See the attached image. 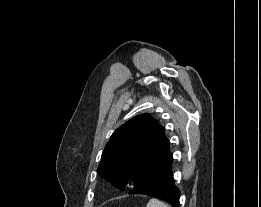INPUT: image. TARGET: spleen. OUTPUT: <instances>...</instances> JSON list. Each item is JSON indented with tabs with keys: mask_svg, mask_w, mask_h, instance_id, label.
I'll return each instance as SVG.
<instances>
[{
	"mask_svg": "<svg viewBox=\"0 0 261 207\" xmlns=\"http://www.w3.org/2000/svg\"><path fill=\"white\" fill-rule=\"evenodd\" d=\"M146 207H170L168 205H166L165 203L157 200V199H151L148 203Z\"/></svg>",
	"mask_w": 261,
	"mask_h": 207,
	"instance_id": "spleen-1",
	"label": "spleen"
}]
</instances>
